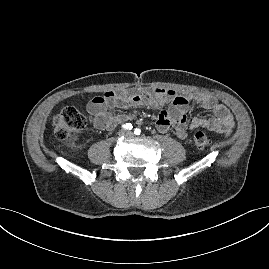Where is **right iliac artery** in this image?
Instances as JSON below:
<instances>
[{"label":"right iliac artery","instance_id":"82829eb1","mask_svg":"<svg viewBox=\"0 0 269 269\" xmlns=\"http://www.w3.org/2000/svg\"><path fill=\"white\" fill-rule=\"evenodd\" d=\"M122 128L125 130H131L133 128L131 123H126L124 125H122Z\"/></svg>","mask_w":269,"mask_h":269}]
</instances>
